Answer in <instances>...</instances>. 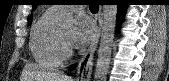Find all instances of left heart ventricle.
I'll use <instances>...</instances> for the list:
<instances>
[{
	"label": "left heart ventricle",
	"instance_id": "1",
	"mask_svg": "<svg viewBox=\"0 0 169 81\" xmlns=\"http://www.w3.org/2000/svg\"><path fill=\"white\" fill-rule=\"evenodd\" d=\"M60 34L66 42H69L71 29L68 28V29L62 30L60 31Z\"/></svg>",
	"mask_w": 169,
	"mask_h": 81
}]
</instances>
